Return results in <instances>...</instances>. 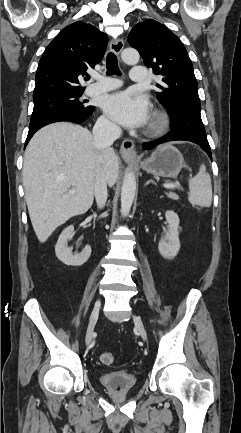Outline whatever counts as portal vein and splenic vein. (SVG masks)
<instances>
[{
    "label": "portal vein and splenic vein",
    "mask_w": 241,
    "mask_h": 433,
    "mask_svg": "<svg viewBox=\"0 0 241 433\" xmlns=\"http://www.w3.org/2000/svg\"><path fill=\"white\" fill-rule=\"evenodd\" d=\"M163 186H164V188H166V189H174V188H178V187H179L177 184H172V183L164 184ZM69 193H70V194H74V193H75V189L72 188V189L69 191Z\"/></svg>",
    "instance_id": "obj_1"
}]
</instances>
